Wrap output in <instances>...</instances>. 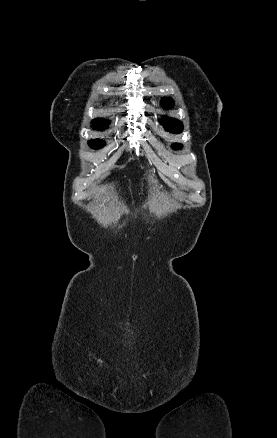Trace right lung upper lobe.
I'll use <instances>...</instances> for the list:
<instances>
[{
    "label": "right lung upper lobe",
    "mask_w": 277,
    "mask_h": 438,
    "mask_svg": "<svg viewBox=\"0 0 277 438\" xmlns=\"http://www.w3.org/2000/svg\"><path fill=\"white\" fill-rule=\"evenodd\" d=\"M93 127L96 128H106L109 122L105 119H95L92 121Z\"/></svg>",
    "instance_id": "right-lung-upper-lobe-1"
}]
</instances>
